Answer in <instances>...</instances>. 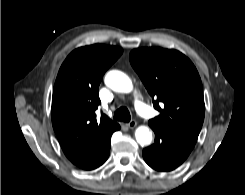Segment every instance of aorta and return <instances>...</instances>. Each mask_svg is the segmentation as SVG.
<instances>
[{
    "instance_id": "aorta-1",
    "label": "aorta",
    "mask_w": 245,
    "mask_h": 195,
    "mask_svg": "<svg viewBox=\"0 0 245 195\" xmlns=\"http://www.w3.org/2000/svg\"><path fill=\"white\" fill-rule=\"evenodd\" d=\"M105 84L113 91L120 93H129L133 89L130 78L118 70H112L106 74ZM135 138L141 146H148L152 142V133L146 126H140L135 131Z\"/></svg>"
}]
</instances>
